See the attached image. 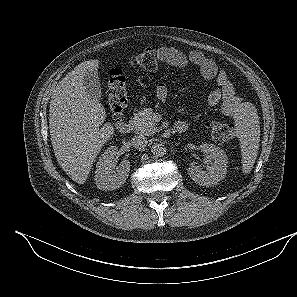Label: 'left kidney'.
<instances>
[{"instance_id": "5707ae66", "label": "left kidney", "mask_w": 297, "mask_h": 297, "mask_svg": "<svg viewBox=\"0 0 297 297\" xmlns=\"http://www.w3.org/2000/svg\"><path fill=\"white\" fill-rule=\"evenodd\" d=\"M200 149L205 155L206 171L199 166L188 168L191 179L201 186H213L225 178L228 167V158L225 152L214 144L203 143Z\"/></svg>"}]
</instances>
